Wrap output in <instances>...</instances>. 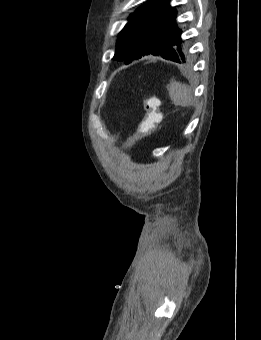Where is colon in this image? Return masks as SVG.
Segmentation results:
<instances>
[{
  "label": "colon",
  "mask_w": 261,
  "mask_h": 340,
  "mask_svg": "<svg viewBox=\"0 0 261 340\" xmlns=\"http://www.w3.org/2000/svg\"><path fill=\"white\" fill-rule=\"evenodd\" d=\"M145 111L144 118L139 123L138 128L130 139V142L150 135L162 120L160 111V100L156 97H148L142 100Z\"/></svg>",
  "instance_id": "1"
}]
</instances>
